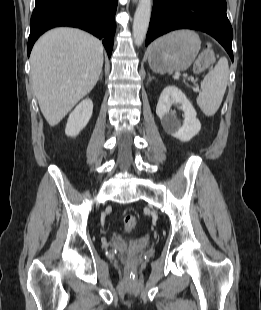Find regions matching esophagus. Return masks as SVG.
<instances>
[{"mask_svg": "<svg viewBox=\"0 0 261 310\" xmlns=\"http://www.w3.org/2000/svg\"><path fill=\"white\" fill-rule=\"evenodd\" d=\"M132 1H133V3H137L138 0H132Z\"/></svg>", "mask_w": 261, "mask_h": 310, "instance_id": "esophagus-1", "label": "esophagus"}]
</instances>
